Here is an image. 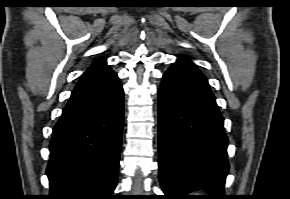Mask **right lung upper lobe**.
I'll return each instance as SVG.
<instances>
[{"instance_id":"1","label":"right lung upper lobe","mask_w":290,"mask_h":199,"mask_svg":"<svg viewBox=\"0 0 290 199\" xmlns=\"http://www.w3.org/2000/svg\"><path fill=\"white\" fill-rule=\"evenodd\" d=\"M117 78V74L107 65L106 59L101 58L95 61L86 72H84L71 96L97 90L110 84Z\"/></svg>"}]
</instances>
